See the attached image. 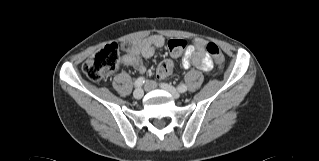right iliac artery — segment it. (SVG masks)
<instances>
[{
  "instance_id": "1",
  "label": "right iliac artery",
  "mask_w": 319,
  "mask_h": 161,
  "mask_svg": "<svg viewBox=\"0 0 319 161\" xmlns=\"http://www.w3.org/2000/svg\"><path fill=\"white\" fill-rule=\"evenodd\" d=\"M145 82V78L144 77H139L136 81H135V86L136 87H140L143 85V83Z\"/></svg>"
}]
</instances>
